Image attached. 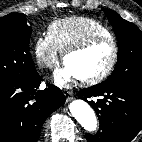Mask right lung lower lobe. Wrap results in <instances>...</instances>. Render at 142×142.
Returning <instances> with one entry per match:
<instances>
[{
  "label": "right lung lower lobe",
  "mask_w": 142,
  "mask_h": 142,
  "mask_svg": "<svg viewBox=\"0 0 142 142\" xmlns=\"http://www.w3.org/2000/svg\"><path fill=\"white\" fill-rule=\"evenodd\" d=\"M36 72L25 81L0 86V142H37L49 114L65 102L56 86L38 90Z\"/></svg>",
  "instance_id": "98d812e1"
}]
</instances>
